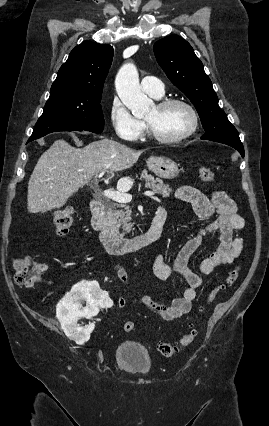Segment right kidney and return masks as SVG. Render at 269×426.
<instances>
[{"label":"right kidney","mask_w":269,"mask_h":426,"mask_svg":"<svg viewBox=\"0 0 269 426\" xmlns=\"http://www.w3.org/2000/svg\"><path fill=\"white\" fill-rule=\"evenodd\" d=\"M83 301H86V307L82 306ZM98 307L101 311H111L113 302L97 282L82 281L75 285L56 308L58 320L65 334L78 344L88 341L95 325L90 323L85 327H79L77 322L81 317L95 316L99 311Z\"/></svg>","instance_id":"right-kidney-1"}]
</instances>
